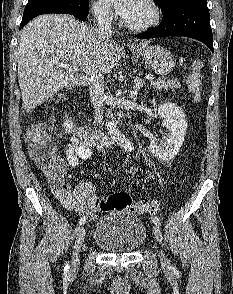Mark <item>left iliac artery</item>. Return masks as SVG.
<instances>
[{"mask_svg":"<svg viewBox=\"0 0 233 294\" xmlns=\"http://www.w3.org/2000/svg\"><path fill=\"white\" fill-rule=\"evenodd\" d=\"M152 221H153V223L156 224V225H160V224H161V223H160V219H159L157 216H153V217H152Z\"/></svg>","mask_w":233,"mask_h":294,"instance_id":"1","label":"left iliac artery"}]
</instances>
